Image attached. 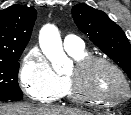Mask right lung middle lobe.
Masks as SVG:
<instances>
[{
    "label": "right lung middle lobe",
    "mask_w": 131,
    "mask_h": 115,
    "mask_svg": "<svg viewBox=\"0 0 131 115\" xmlns=\"http://www.w3.org/2000/svg\"><path fill=\"white\" fill-rule=\"evenodd\" d=\"M23 51L0 59V101L22 99L23 94L17 82L19 62Z\"/></svg>",
    "instance_id": "dd1d6c3e"
}]
</instances>
